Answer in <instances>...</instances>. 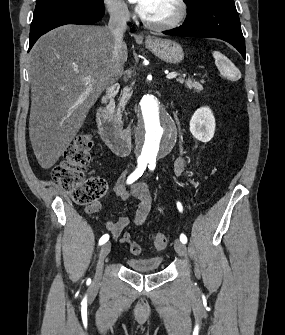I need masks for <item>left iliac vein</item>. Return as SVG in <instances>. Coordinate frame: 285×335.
Instances as JSON below:
<instances>
[{
  "label": "left iliac vein",
  "mask_w": 285,
  "mask_h": 335,
  "mask_svg": "<svg viewBox=\"0 0 285 335\" xmlns=\"http://www.w3.org/2000/svg\"><path fill=\"white\" fill-rule=\"evenodd\" d=\"M174 248H175V251L179 255H181L183 257H186V255H187V248H186V245L184 243H182L179 240H175Z\"/></svg>",
  "instance_id": "1"
}]
</instances>
